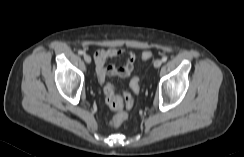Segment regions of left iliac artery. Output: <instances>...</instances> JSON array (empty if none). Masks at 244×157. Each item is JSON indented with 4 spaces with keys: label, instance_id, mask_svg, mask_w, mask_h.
Returning <instances> with one entry per match:
<instances>
[{
    "label": "left iliac artery",
    "instance_id": "obj_1",
    "mask_svg": "<svg viewBox=\"0 0 244 157\" xmlns=\"http://www.w3.org/2000/svg\"><path fill=\"white\" fill-rule=\"evenodd\" d=\"M167 57L166 56H164L163 58H162V62H166L167 61Z\"/></svg>",
    "mask_w": 244,
    "mask_h": 157
}]
</instances>
